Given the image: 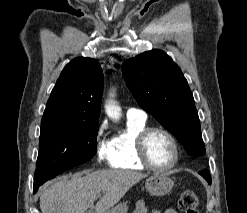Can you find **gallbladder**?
Segmentation results:
<instances>
[{"label":"gallbladder","mask_w":247,"mask_h":213,"mask_svg":"<svg viewBox=\"0 0 247 213\" xmlns=\"http://www.w3.org/2000/svg\"><path fill=\"white\" fill-rule=\"evenodd\" d=\"M86 213H94V211L92 209H89L86 211Z\"/></svg>","instance_id":"gallbladder-1"}]
</instances>
